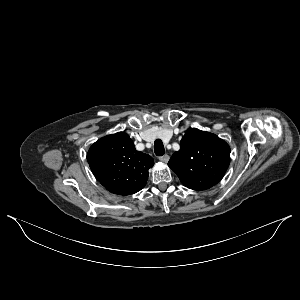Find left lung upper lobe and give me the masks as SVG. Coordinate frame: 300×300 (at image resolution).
<instances>
[{"mask_svg":"<svg viewBox=\"0 0 300 300\" xmlns=\"http://www.w3.org/2000/svg\"><path fill=\"white\" fill-rule=\"evenodd\" d=\"M230 162V147L217 135L190 128L180 142V150L168 165L183 185L193 190H206L223 178Z\"/></svg>","mask_w":300,"mask_h":300,"instance_id":"5c2ea615","label":"left lung upper lobe"}]
</instances>
